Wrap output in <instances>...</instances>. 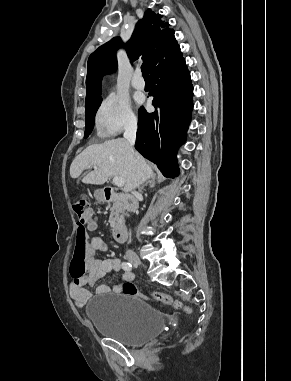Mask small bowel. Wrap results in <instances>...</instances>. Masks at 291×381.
Segmentation results:
<instances>
[{
  "label": "small bowel",
  "instance_id": "obj_1",
  "mask_svg": "<svg viewBox=\"0 0 291 381\" xmlns=\"http://www.w3.org/2000/svg\"><path fill=\"white\" fill-rule=\"evenodd\" d=\"M108 249L107 243L100 237H92L86 249L85 266L89 272L88 275H82L72 280L69 285V294L74 304L81 308L90 298V292L87 290V286L94 285L105 274L111 271H119L122 267V263L118 258H96L97 252H105ZM135 278L134 273L125 272L121 280L114 284L111 288L107 285H100L97 287V293H107L113 291L119 293L122 291L123 283L131 282Z\"/></svg>",
  "mask_w": 291,
  "mask_h": 381
}]
</instances>
